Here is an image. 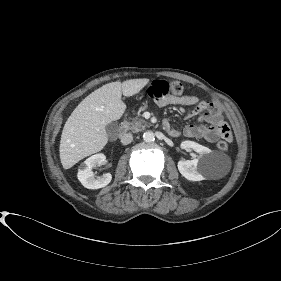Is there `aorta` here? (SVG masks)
Listing matches in <instances>:
<instances>
[{"label": "aorta", "mask_w": 281, "mask_h": 281, "mask_svg": "<svg viewBox=\"0 0 281 281\" xmlns=\"http://www.w3.org/2000/svg\"><path fill=\"white\" fill-rule=\"evenodd\" d=\"M143 140L146 142V143H151L155 140V136H154V133L152 131H146L144 134H143Z\"/></svg>", "instance_id": "762f6f07"}]
</instances>
